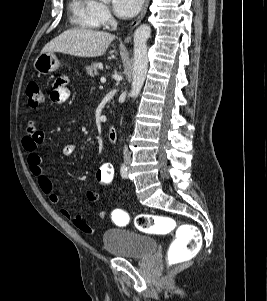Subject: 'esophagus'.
<instances>
[{"label":"esophagus","instance_id":"34e87169","mask_svg":"<svg viewBox=\"0 0 267 301\" xmlns=\"http://www.w3.org/2000/svg\"><path fill=\"white\" fill-rule=\"evenodd\" d=\"M148 4H149V0H145V4H144V6L142 8V11H141L140 15L132 22V27L133 28L136 27L141 22V20L143 19V17L145 16ZM129 41H131V36H128L125 39V42L128 43Z\"/></svg>","mask_w":267,"mask_h":301}]
</instances>
